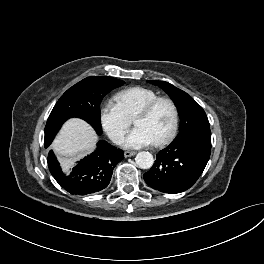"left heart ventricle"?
<instances>
[{"mask_svg":"<svg viewBox=\"0 0 264 264\" xmlns=\"http://www.w3.org/2000/svg\"><path fill=\"white\" fill-rule=\"evenodd\" d=\"M135 126L143 128L154 141L162 138L172 124V110L167 103H160L147 117L137 118Z\"/></svg>","mask_w":264,"mask_h":264,"instance_id":"b2bd125f","label":"left heart ventricle"}]
</instances>
